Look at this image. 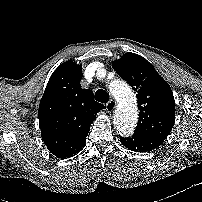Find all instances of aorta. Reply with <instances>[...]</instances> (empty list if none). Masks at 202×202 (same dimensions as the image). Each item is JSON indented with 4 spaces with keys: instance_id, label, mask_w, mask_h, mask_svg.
Here are the masks:
<instances>
[{
    "instance_id": "obj_1",
    "label": "aorta",
    "mask_w": 202,
    "mask_h": 202,
    "mask_svg": "<svg viewBox=\"0 0 202 202\" xmlns=\"http://www.w3.org/2000/svg\"><path fill=\"white\" fill-rule=\"evenodd\" d=\"M110 91L119 102L114 114L115 129L120 135L129 136L133 133L138 121L134 93L131 87L122 81H116L111 85Z\"/></svg>"
}]
</instances>
